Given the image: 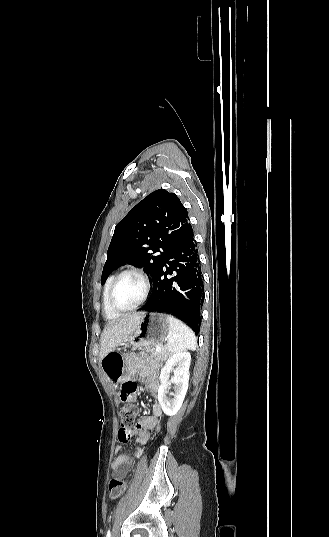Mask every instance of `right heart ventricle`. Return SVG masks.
<instances>
[{"instance_id":"1","label":"right heart ventricle","mask_w":329,"mask_h":537,"mask_svg":"<svg viewBox=\"0 0 329 537\" xmlns=\"http://www.w3.org/2000/svg\"><path fill=\"white\" fill-rule=\"evenodd\" d=\"M115 276L114 275H111L105 285H104V288H103V293H102V307H103V310H104V313L106 315L107 318L109 319H115L117 317H119L120 314L114 312L110 307H109V304H108V292H109V288L114 280Z\"/></svg>"}]
</instances>
